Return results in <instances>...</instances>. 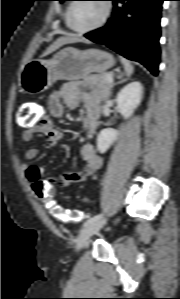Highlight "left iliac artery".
Listing matches in <instances>:
<instances>
[{
    "label": "left iliac artery",
    "mask_w": 180,
    "mask_h": 299,
    "mask_svg": "<svg viewBox=\"0 0 180 299\" xmlns=\"http://www.w3.org/2000/svg\"><path fill=\"white\" fill-rule=\"evenodd\" d=\"M101 218H102V214H97V215H95L94 217L88 219V220L83 224V227H86V226H88L89 224H91V223H93V222H95V221H97V220H99V219H101Z\"/></svg>",
    "instance_id": "left-iliac-artery-1"
}]
</instances>
